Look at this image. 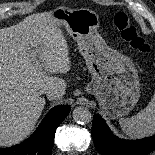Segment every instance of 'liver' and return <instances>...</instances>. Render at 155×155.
Listing matches in <instances>:
<instances>
[{
  "mask_svg": "<svg viewBox=\"0 0 155 155\" xmlns=\"http://www.w3.org/2000/svg\"><path fill=\"white\" fill-rule=\"evenodd\" d=\"M60 26V19L49 12L0 30V145L30 134L44 110L46 88L65 93V81L48 76L67 74L72 67Z\"/></svg>",
  "mask_w": 155,
  "mask_h": 155,
  "instance_id": "liver-1",
  "label": "liver"
}]
</instances>
